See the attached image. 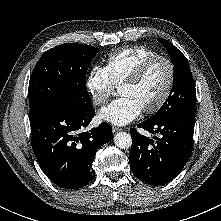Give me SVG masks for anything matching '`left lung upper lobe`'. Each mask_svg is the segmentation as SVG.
Masks as SVG:
<instances>
[{
  "instance_id": "left-lung-upper-lobe-1",
  "label": "left lung upper lobe",
  "mask_w": 221,
  "mask_h": 221,
  "mask_svg": "<svg viewBox=\"0 0 221 221\" xmlns=\"http://www.w3.org/2000/svg\"><path fill=\"white\" fill-rule=\"evenodd\" d=\"M159 41L166 46L174 64L175 80L165 103L147 120L162 121L181 114L195 117L196 91L188 61L172 43L165 39Z\"/></svg>"
}]
</instances>
